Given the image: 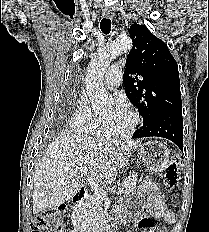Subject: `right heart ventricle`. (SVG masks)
<instances>
[{"instance_id":"1","label":"right heart ventricle","mask_w":209,"mask_h":232,"mask_svg":"<svg viewBox=\"0 0 209 232\" xmlns=\"http://www.w3.org/2000/svg\"><path fill=\"white\" fill-rule=\"evenodd\" d=\"M84 133L90 137L103 138L105 134L102 129V119L94 115L93 121L89 124Z\"/></svg>"}]
</instances>
